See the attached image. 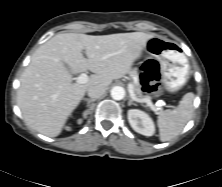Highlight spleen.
<instances>
[{
	"label": "spleen",
	"instance_id": "obj_1",
	"mask_svg": "<svg viewBox=\"0 0 222 187\" xmlns=\"http://www.w3.org/2000/svg\"><path fill=\"white\" fill-rule=\"evenodd\" d=\"M195 95L185 94L174 109L162 111L157 119L159 136L162 142L170 141L181 133L193 113Z\"/></svg>",
	"mask_w": 222,
	"mask_h": 187
}]
</instances>
